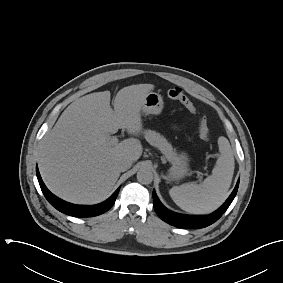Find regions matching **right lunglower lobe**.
Returning <instances> with one entry per match:
<instances>
[{
	"mask_svg": "<svg viewBox=\"0 0 283 283\" xmlns=\"http://www.w3.org/2000/svg\"><path fill=\"white\" fill-rule=\"evenodd\" d=\"M36 173L41 190L44 196L46 197V199L48 200V202L60 212L75 217H93L106 212L115 203V200L119 192V189H117L109 199L97 205H92V206L74 205L59 199L47 189V187L44 185L41 179L37 167H36Z\"/></svg>",
	"mask_w": 283,
	"mask_h": 283,
	"instance_id": "obj_1",
	"label": "right lung lower lobe"
}]
</instances>
